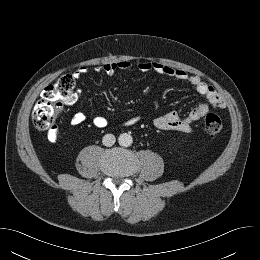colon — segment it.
<instances>
[{
	"label": "colon",
	"mask_w": 260,
	"mask_h": 260,
	"mask_svg": "<svg viewBox=\"0 0 260 260\" xmlns=\"http://www.w3.org/2000/svg\"><path fill=\"white\" fill-rule=\"evenodd\" d=\"M76 100L75 80L71 75H63L43 91L40 100L34 107L32 120L36 128L50 133L56 132V120L65 105ZM204 128L210 135L221 132L222 121L215 113L204 118Z\"/></svg>",
	"instance_id": "colon-1"
}]
</instances>
